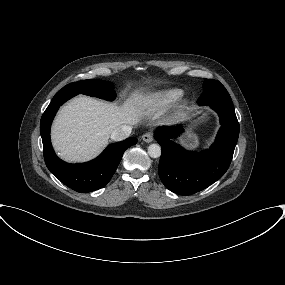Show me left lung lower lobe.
Instances as JSON below:
<instances>
[{"label":"left lung lower lobe","instance_id":"0a47b994","mask_svg":"<svg viewBox=\"0 0 285 285\" xmlns=\"http://www.w3.org/2000/svg\"><path fill=\"white\" fill-rule=\"evenodd\" d=\"M209 106L218 113L221 123L210 149L189 152L169 140L179 135L183 130L181 126L160 128L154 135L162 149L158 167L160 179L174 193L191 195L207 188L225 174L231 163L239 136L234 107Z\"/></svg>","mask_w":285,"mask_h":285}]
</instances>
